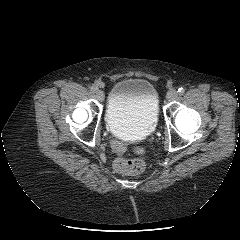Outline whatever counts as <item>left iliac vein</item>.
I'll use <instances>...</instances> for the list:
<instances>
[{"label": "left iliac vein", "instance_id": "1", "mask_svg": "<svg viewBox=\"0 0 240 240\" xmlns=\"http://www.w3.org/2000/svg\"><path fill=\"white\" fill-rule=\"evenodd\" d=\"M167 100L168 101H173L177 98V91L175 89H170L168 92H167Z\"/></svg>", "mask_w": 240, "mask_h": 240}]
</instances>
